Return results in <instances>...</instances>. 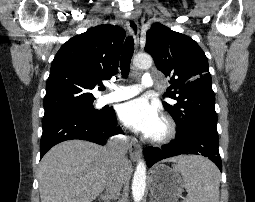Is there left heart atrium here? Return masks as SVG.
<instances>
[{"label": "left heart atrium", "mask_w": 255, "mask_h": 202, "mask_svg": "<svg viewBox=\"0 0 255 202\" xmlns=\"http://www.w3.org/2000/svg\"><path fill=\"white\" fill-rule=\"evenodd\" d=\"M119 118L125 125L146 136H151L161 122L159 108L143 98L122 104Z\"/></svg>", "instance_id": "left-heart-atrium-1"}]
</instances>
